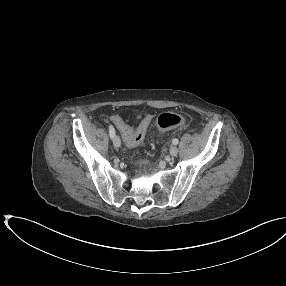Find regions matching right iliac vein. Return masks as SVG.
<instances>
[{
    "label": "right iliac vein",
    "instance_id": "right-iliac-vein-1",
    "mask_svg": "<svg viewBox=\"0 0 286 286\" xmlns=\"http://www.w3.org/2000/svg\"><path fill=\"white\" fill-rule=\"evenodd\" d=\"M113 145L116 147V148H119L121 146V140L118 136H114L113 138Z\"/></svg>",
    "mask_w": 286,
    "mask_h": 286
}]
</instances>
